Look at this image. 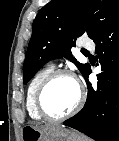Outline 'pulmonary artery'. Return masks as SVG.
Here are the masks:
<instances>
[{
	"label": "pulmonary artery",
	"instance_id": "obj_1",
	"mask_svg": "<svg viewBox=\"0 0 119 141\" xmlns=\"http://www.w3.org/2000/svg\"><path fill=\"white\" fill-rule=\"evenodd\" d=\"M92 45H93V43L91 41H85L82 44H80L79 47H82V48H91Z\"/></svg>",
	"mask_w": 119,
	"mask_h": 141
}]
</instances>
